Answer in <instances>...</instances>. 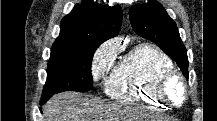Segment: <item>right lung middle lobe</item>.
Segmentation results:
<instances>
[{
  "instance_id": "right-lung-middle-lobe-1",
  "label": "right lung middle lobe",
  "mask_w": 217,
  "mask_h": 121,
  "mask_svg": "<svg viewBox=\"0 0 217 121\" xmlns=\"http://www.w3.org/2000/svg\"><path fill=\"white\" fill-rule=\"evenodd\" d=\"M99 42L57 44L51 48L47 81L41 99L63 91L87 92L93 87L91 62Z\"/></svg>"
}]
</instances>
